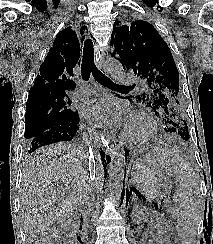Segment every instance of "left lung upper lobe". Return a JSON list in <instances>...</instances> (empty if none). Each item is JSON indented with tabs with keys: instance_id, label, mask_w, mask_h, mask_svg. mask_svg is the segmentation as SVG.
Wrapping results in <instances>:
<instances>
[{
	"instance_id": "5c2ea615",
	"label": "left lung upper lobe",
	"mask_w": 213,
	"mask_h": 244,
	"mask_svg": "<svg viewBox=\"0 0 213 244\" xmlns=\"http://www.w3.org/2000/svg\"><path fill=\"white\" fill-rule=\"evenodd\" d=\"M118 24L115 23L112 33L113 56L117 55L124 70L134 71L141 87V93L129 96V100L147 102L162 120L166 132L177 133L188 140L179 73L168 45L146 21H133L130 26L119 27Z\"/></svg>"
}]
</instances>
